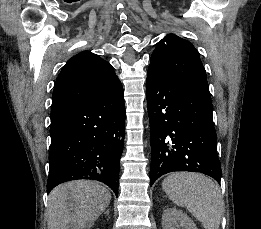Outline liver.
<instances>
[{
	"mask_svg": "<svg viewBox=\"0 0 261 229\" xmlns=\"http://www.w3.org/2000/svg\"><path fill=\"white\" fill-rule=\"evenodd\" d=\"M111 195L97 181H69L55 187L48 197V229H91L107 209Z\"/></svg>",
	"mask_w": 261,
	"mask_h": 229,
	"instance_id": "6515ba94",
	"label": "liver"
}]
</instances>
